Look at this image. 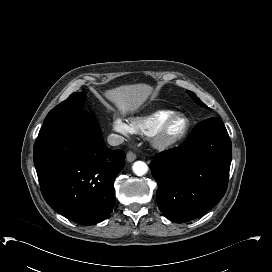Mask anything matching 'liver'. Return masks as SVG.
Segmentation results:
<instances>
[{
  "instance_id": "obj_1",
  "label": "liver",
  "mask_w": 272,
  "mask_h": 272,
  "mask_svg": "<svg viewBox=\"0 0 272 272\" xmlns=\"http://www.w3.org/2000/svg\"><path fill=\"white\" fill-rule=\"evenodd\" d=\"M152 90L147 84L122 85L105 91L104 96L126 115L138 110Z\"/></svg>"
}]
</instances>
